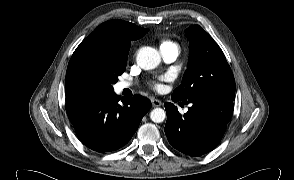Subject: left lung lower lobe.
<instances>
[{
	"mask_svg": "<svg viewBox=\"0 0 294 180\" xmlns=\"http://www.w3.org/2000/svg\"><path fill=\"white\" fill-rule=\"evenodd\" d=\"M174 102L179 100L173 98ZM188 112L181 115L172 103H165V134L169 143L184 154L201 156L221 141L230 121L233 102L216 99H192Z\"/></svg>",
	"mask_w": 294,
	"mask_h": 180,
	"instance_id": "0a47b994",
	"label": "left lung lower lobe"
}]
</instances>
